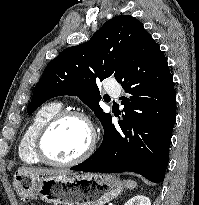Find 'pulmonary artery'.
<instances>
[{
    "instance_id": "1",
    "label": "pulmonary artery",
    "mask_w": 199,
    "mask_h": 205,
    "mask_svg": "<svg viewBox=\"0 0 199 205\" xmlns=\"http://www.w3.org/2000/svg\"><path fill=\"white\" fill-rule=\"evenodd\" d=\"M107 91L109 94H111L114 97H116L120 94V88H118V87H108Z\"/></svg>"
}]
</instances>
